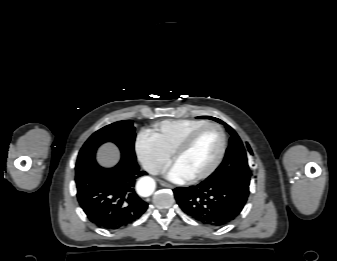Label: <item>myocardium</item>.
<instances>
[{"instance_id": "f54148a6", "label": "myocardium", "mask_w": 337, "mask_h": 261, "mask_svg": "<svg viewBox=\"0 0 337 261\" xmlns=\"http://www.w3.org/2000/svg\"><path fill=\"white\" fill-rule=\"evenodd\" d=\"M208 128H214L216 130H218V132L220 133L221 136V147L219 150V153L217 155V157L215 158V160L213 161V163L203 172L196 174L192 177L189 178L190 181L196 182V181H200L203 179L208 178L210 175H212L217 168L220 166V164L222 163L226 150H227V145H228V140H227V135L225 130L223 129V127L217 123L214 122H206L198 127H196L195 129H193L192 131H190L183 139L182 141L177 145V147L174 149L173 153H172V160L173 162H175L177 160V158L182 155L190 146L191 144L194 142V140L196 139V137L204 130L208 129Z\"/></svg>"}]
</instances>
